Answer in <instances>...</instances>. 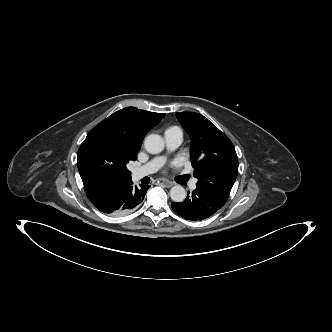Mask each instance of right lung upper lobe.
<instances>
[{"instance_id":"right-lung-upper-lobe-1","label":"right lung upper lobe","mask_w":332,"mask_h":332,"mask_svg":"<svg viewBox=\"0 0 332 332\" xmlns=\"http://www.w3.org/2000/svg\"><path fill=\"white\" fill-rule=\"evenodd\" d=\"M113 115L125 117L127 122L136 130L140 143H142L145 134L165 116L163 113H153L133 107L123 108L113 113ZM94 185V183H86L84 188L87 190Z\"/></svg>"}]
</instances>
